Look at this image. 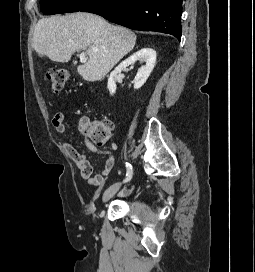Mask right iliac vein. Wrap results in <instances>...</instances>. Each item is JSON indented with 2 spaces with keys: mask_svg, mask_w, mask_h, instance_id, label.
<instances>
[{
  "mask_svg": "<svg viewBox=\"0 0 255 272\" xmlns=\"http://www.w3.org/2000/svg\"><path fill=\"white\" fill-rule=\"evenodd\" d=\"M120 188V183H115L111 185L103 194L102 200L103 203L108 202L119 190Z\"/></svg>",
  "mask_w": 255,
  "mask_h": 272,
  "instance_id": "right-iliac-vein-1",
  "label": "right iliac vein"
}]
</instances>
